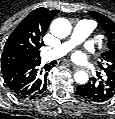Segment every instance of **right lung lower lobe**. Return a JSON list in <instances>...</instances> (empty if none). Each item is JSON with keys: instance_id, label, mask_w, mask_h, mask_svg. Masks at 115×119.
<instances>
[{"instance_id": "1", "label": "right lung lower lobe", "mask_w": 115, "mask_h": 119, "mask_svg": "<svg viewBox=\"0 0 115 119\" xmlns=\"http://www.w3.org/2000/svg\"><path fill=\"white\" fill-rule=\"evenodd\" d=\"M49 65L45 66V70ZM47 73L40 68L39 63L25 64L3 72L6 85L17 95L29 97L39 96L46 90Z\"/></svg>"}]
</instances>
